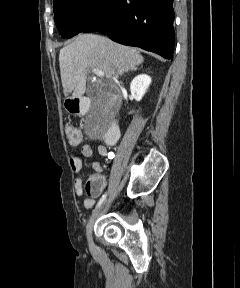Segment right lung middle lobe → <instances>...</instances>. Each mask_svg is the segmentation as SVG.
Here are the masks:
<instances>
[{
	"instance_id": "obj_1",
	"label": "right lung middle lobe",
	"mask_w": 240,
	"mask_h": 288,
	"mask_svg": "<svg viewBox=\"0 0 240 288\" xmlns=\"http://www.w3.org/2000/svg\"><path fill=\"white\" fill-rule=\"evenodd\" d=\"M109 1L54 0V20L59 33L70 38L82 32L100 16Z\"/></svg>"
}]
</instances>
